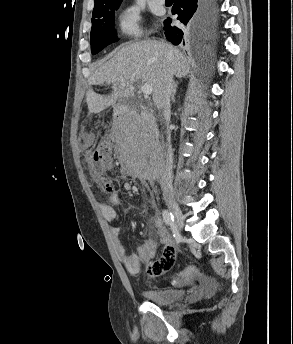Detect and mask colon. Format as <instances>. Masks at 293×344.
Masks as SVG:
<instances>
[{"label": "colon", "instance_id": "obj_1", "mask_svg": "<svg viewBox=\"0 0 293 344\" xmlns=\"http://www.w3.org/2000/svg\"><path fill=\"white\" fill-rule=\"evenodd\" d=\"M89 133L84 132V137L87 138ZM91 164L98 182L108 194H113L115 192V180L114 178L107 175L108 171L112 169L113 159H112V146L108 140L101 141L91 158ZM201 274L200 271L194 266L186 267L179 277L173 280L174 284L185 283L186 281L193 278L195 275Z\"/></svg>", "mask_w": 293, "mask_h": 344}]
</instances>
